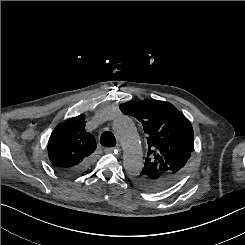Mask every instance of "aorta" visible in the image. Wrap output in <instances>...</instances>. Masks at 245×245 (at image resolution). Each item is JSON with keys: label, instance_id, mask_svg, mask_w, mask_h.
<instances>
[{"label": "aorta", "instance_id": "1", "mask_svg": "<svg viewBox=\"0 0 245 245\" xmlns=\"http://www.w3.org/2000/svg\"><path fill=\"white\" fill-rule=\"evenodd\" d=\"M113 131L123 149V164L128 173H138L142 169V147L137 129L131 119L125 116L113 122Z\"/></svg>", "mask_w": 245, "mask_h": 245}]
</instances>
